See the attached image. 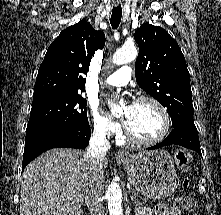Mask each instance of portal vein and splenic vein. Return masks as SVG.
Listing matches in <instances>:
<instances>
[{
	"mask_svg": "<svg viewBox=\"0 0 221 215\" xmlns=\"http://www.w3.org/2000/svg\"><path fill=\"white\" fill-rule=\"evenodd\" d=\"M132 199H135V197H134V196H132Z\"/></svg>",
	"mask_w": 221,
	"mask_h": 215,
	"instance_id": "obj_1",
	"label": "portal vein and splenic vein"
}]
</instances>
